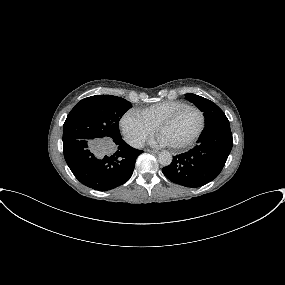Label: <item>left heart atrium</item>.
Here are the masks:
<instances>
[{
	"label": "left heart atrium",
	"instance_id": "left-heart-atrium-1",
	"mask_svg": "<svg viewBox=\"0 0 285 285\" xmlns=\"http://www.w3.org/2000/svg\"><path fill=\"white\" fill-rule=\"evenodd\" d=\"M151 143L152 144H158L161 146H168L169 145L168 141L162 135H158L157 137L153 138L151 140Z\"/></svg>",
	"mask_w": 285,
	"mask_h": 285
}]
</instances>
